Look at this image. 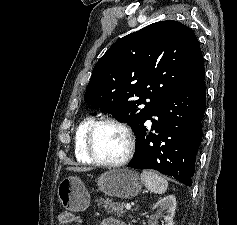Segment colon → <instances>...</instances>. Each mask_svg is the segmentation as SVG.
Here are the masks:
<instances>
[{"label": "colon", "mask_w": 237, "mask_h": 225, "mask_svg": "<svg viewBox=\"0 0 237 225\" xmlns=\"http://www.w3.org/2000/svg\"><path fill=\"white\" fill-rule=\"evenodd\" d=\"M73 222V215L64 211L58 215V225H70Z\"/></svg>", "instance_id": "1"}]
</instances>
